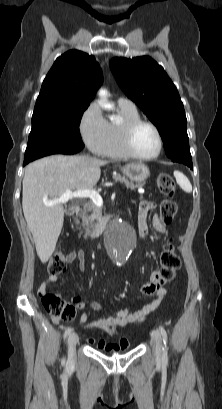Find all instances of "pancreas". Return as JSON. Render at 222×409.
I'll return each instance as SVG.
<instances>
[{
    "label": "pancreas",
    "instance_id": "1",
    "mask_svg": "<svg viewBox=\"0 0 222 409\" xmlns=\"http://www.w3.org/2000/svg\"><path fill=\"white\" fill-rule=\"evenodd\" d=\"M114 179L116 181H121L126 184V186L130 187L131 189L134 188H140L143 186V184L140 185H134L132 182H129L125 177H122L120 174L115 175ZM102 216V209L95 205L92 201L87 202L81 213L79 214V217L81 218V226L85 229V235L86 236H95V226L96 223L95 221L100 220Z\"/></svg>",
    "mask_w": 222,
    "mask_h": 409
}]
</instances>
